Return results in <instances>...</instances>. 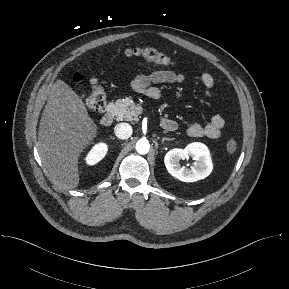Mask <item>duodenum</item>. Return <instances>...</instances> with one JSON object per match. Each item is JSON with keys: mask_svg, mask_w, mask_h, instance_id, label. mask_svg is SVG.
<instances>
[{"mask_svg": "<svg viewBox=\"0 0 289 289\" xmlns=\"http://www.w3.org/2000/svg\"><path fill=\"white\" fill-rule=\"evenodd\" d=\"M114 118V113L111 109H108L105 113L102 114L100 118V123L103 126H109L112 124ZM161 126L166 130H175L176 123L169 119H163Z\"/></svg>", "mask_w": 289, "mask_h": 289, "instance_id": "410a0bca", "label": "duodenum"}]
</instances>
